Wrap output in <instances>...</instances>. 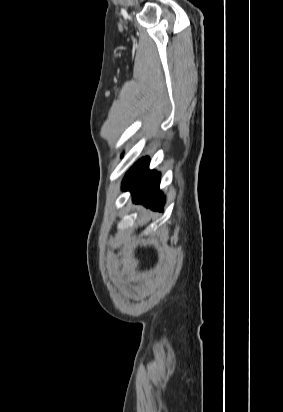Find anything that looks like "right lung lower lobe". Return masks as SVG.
Listing matches in <instances>:
<instances>
[{
    "label": "right lung lower lobe",
    "mask_w": 283,
    "mask_h": 412,
    "mask_svg": "<svg viewBox=\"0 0 283 412\" xmlns=\"http://www.w3.org/2000/svg\"><path fill=\"white\" fill-rule=\"evenodd\" d=\"M149 158L140 159L127 172L122 189L131 191L135 203L163 210L164 196L159 190L160 174L149 170Z\"/></svg>",
    "instance_id": "1"
}]
</instances>
